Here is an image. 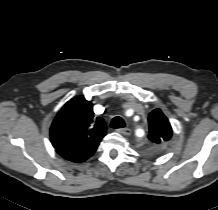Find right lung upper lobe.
Here are the masks:
<instances>
[{
	"instance_id": "cb5924a9",
	"label": "right lung upper lobe",
	"mask_w": 218,
	"mask_h": 210,
	"mask_svg": "<svg viewBox=\"0 0 218 210\" xmlns=\"http://www.w3.org/2000/svg\"><path fill=\"white\" fill-rule=\"evenodd\" d=\"M106 134L102 118H94L93 104L83 96L69 100L55 117L50 138L56 150L92 156Z\"/></svg>"
}]
</instances>
